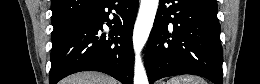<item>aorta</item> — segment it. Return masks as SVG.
I'll return each instance as SVG.
<instances>
[{
    "label": "aorta",
    "mask_w": 260,
    "mask_h": 84,
    "mask_svg": "<svg viewBox=\"0 0 260 84\" xmlns=\"http://www.w3.org/2000/svg\"><path fill=\"white\" fill-rule=\"evenodd\" d=\"M159 0H141L139 13L133 31L135 52L134 84H148V78L141 59V51L152 29Z\"/></svg>",
    "instance_id": "obj_1"
}]
</instances>
